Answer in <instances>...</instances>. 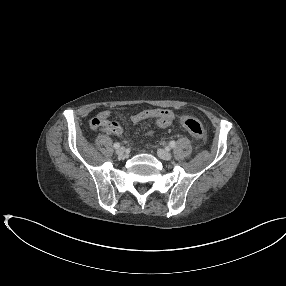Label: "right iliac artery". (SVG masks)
<instances>
[{"mask_svg": "<svg viewBox=\"0 0 286 286\" xmlns=\"http://www.w3.org/2000/svg\"><path fill=\"white\" fill-rule=\"evenodd\" d=\"M113 146H114V148H116V149H117V148H119V147H120V143L116 142V143H114V145H113Z\"/></svg>", "mask_w": 286, "mask_h": 286, "instance_id": "82829eb1", "label": "right iliac artery"}]
</instances>
